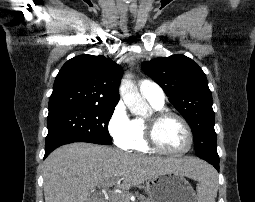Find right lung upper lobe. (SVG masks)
<instances>
[{
  "instance_id": "obj_1",
  "label": "right lung upper lobe",
  "mask_w": 255,
  "mask_h": 202,
  "mask_svg": "<svg viewBox=\"0 0 255 202\" xmlns=\"http://www.w3.org/2000/svg\"><path fill=\"white\" fill-rule=\"evenodd\" d=\"M121 66L104 56L80 55L68 60L56 76L49 114L83 106H116Z\"/></svg>"
}]
</instances>
